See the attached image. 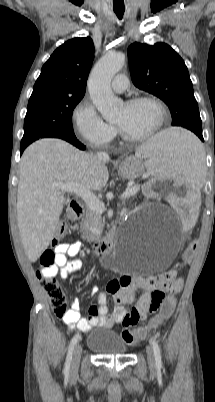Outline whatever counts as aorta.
<instances>
[{
	"instance_id": "1",
	"label": "aorta",
	"mask_w": 215,
	"mask_h": 402,
	"mask_svg": "<svg viewBox=\"0 0 215 402\" xmlns=\"http://www.w3.org/2000/svg\"><path fill=\"white\" fill-rule=\"evenodd\" d=\"M125 64L123 53H107L94 66L88 79V91L91 100L106 121L113 120L120 109L122 101L111 90V80ZM124 258L113 261L116 268L122 267Z\"/></svg>"
}]
</instances>
